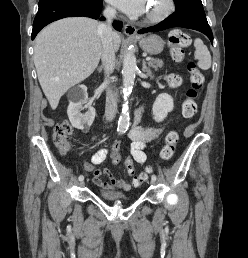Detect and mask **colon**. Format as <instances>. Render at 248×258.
Listing matches in <instances>:
<instances>
[{
  "instance_id": "obj_1",
  "label": "colon",
  "mask_w": 248,
  "mask_h": 258,
  "mask_svg": "<svg viewBox=\"0 0 248 258\" xmlns=\"http://www.w3.org/2000/svg\"><path fill=\"white\" fill-rule=\"evenodd\" d=\"M168 43L174 60L182 62L184 60V48L190 44V37L180 30H173L169 34ZM188 69L190 73V87L187 90L186 98L182 104V115L185 119H192L197 114V98L203 87L204 77L194 61L188 62ZM172 84L176 85L177 82L172 81ZM72 133L73 126L67 121L58 123L55 126L53 141L60 153L66 154L69 151V139ZM178 138V133L175 130H171L167 133L165 145L160 152V158L162 160H169L173 156ZM120 150L121 142L115 141L114 145H112L111 153L112 162L114 164H117L120 161ZM121 167L128 169V172L133 174V169H135L134 155L127 153L124 160L121 162ZM151 171V168H147L145 172L134 176V183L138 185L139 183L146 181Z\"/></svg>"
}]
</instances>
